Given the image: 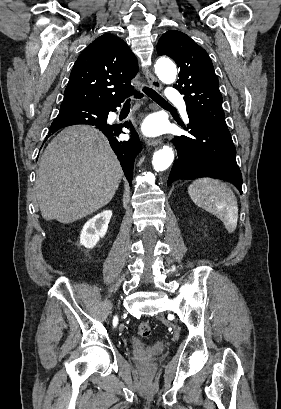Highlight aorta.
Wrapping results in <instances>:
<instances>
[{"mask_svg": "<svg viewBox=\"0 0 281 409\" xmlns=\"http://www.w3.org/2000/svg\"><path fill=\"white\" fill-rule=\"evenodd\" d=\"M155 72L159 79L166 83L171 84L175 81L177 75V69L175 64L167 58H161L156 61ZM174 152L171 147L163 146L160 150L156 151L153 155L154 169L159 171L166 170L173 162Z\"/></svg>", "mask_w": 281, "mask_h": 409, "instance_id": "1", "label": "aorta"}]
</instances>
